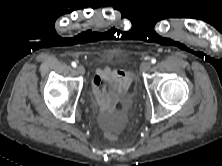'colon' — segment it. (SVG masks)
Instances as JSON below:
<instances>
[{"instance_id": "obj_1", "label": "colon", "mask_w": 222, "mask_h": 166, "mask_svg": "<svg viewBox=\"0 0 222 166\" xmlns=\"http://www.w3.org/2000/svg\"><path fill=\"white\" fill-rule=\"evenodd\" d=\"M107 137L111 140H115L117 138V135L112 132H108Z\"/></svg>"}]
</instances>
